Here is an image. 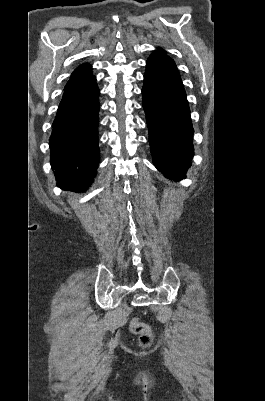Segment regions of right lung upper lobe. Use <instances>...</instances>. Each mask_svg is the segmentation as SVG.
Returning a JSON list of instances; mask_svg holds the SVG:
<instances>
[{
    "label": "right lung upper lobe",
    "mask_w": 265,
    "mask_h": 401,
    "mask_svg": "<svg viewBox=\"0 0 265 401\" xmlns=\"http://www.w3.org/2000/svg\"><path fill=\"white\" fill-rule=\"evenodd\" d=\"M95 76L92 75V67L89 64H82L74 70L70 80L66 84L64 91L72 88L86 86L95 82Z\"/></svg>",
    "instance_id": "obj_1"
}]
</instances>
